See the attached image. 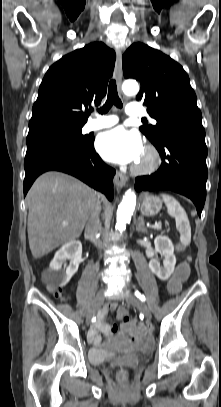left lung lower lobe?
<instances>
[{"label": "left lung lower lobe", "mask_w": 221, "mask_h": 407, "mask_svg": "<svg viewBox=\"0 0 221 407\" xmlns=\"http://www.w3.org/2000/svg\"><path fill=\"white\" fill-rule=\"evenodd\" d=\"M163 163L150 176L136 178V191L172 190L190 198L198 215L206 199L208 176L205 130L194 123H176L166 128L160 139L152 142Z\"/></svg>", "instance_id": "obj_1"}]
</instances>
